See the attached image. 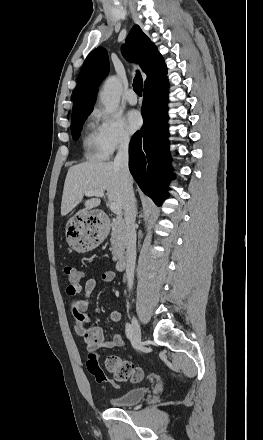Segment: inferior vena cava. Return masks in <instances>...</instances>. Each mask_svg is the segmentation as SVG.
Here are the masks:
<instances>
[{
	"mask_svg": "<svg viewBox=\"0 0 263 440\" xmlns=\"http://www.w3.org/2000/svg\"><path fill=\"white\" fill-rule=\"evenodd\" d=\"M129 138H121L117 155L114 159V166L118 167L122 180L121 202L124 209L125 218V245H126V279L128 288L131 289L134 281V271L136 262V205L132 186V176L129 171Z\"/></svg>",
	"mask_w": 263,
	"mask_h": 440,
	"instance_id": "1",
	"label": "inferior vena cava"
}]
</instances>
